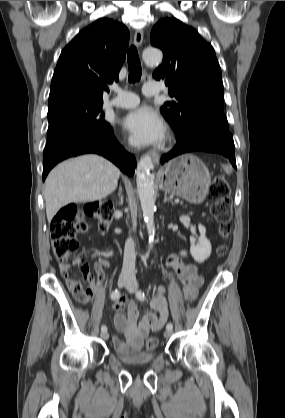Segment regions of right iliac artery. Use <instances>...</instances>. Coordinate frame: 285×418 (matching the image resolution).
<instances>
[{
  "label": "right iliac artery",
  "mask_w": 285,
  "mask_h": 418,
  "mask_svg": "<svg viewBox=\"0 0 285 418\" xmlns=\"http://www.w3.org/2000/svg\"><path fill=\"white\" fill-rule=\"evenodd\" d=\"M120 295H121L120 290L115 289V290L111 293V299H112V300H117V299H119V298H120ZM105 331H107V327H106L105 325H103V326L101 327V332H105Z\"/></svg>",
  "instance_id": "82829eb1"
}]
</instances>
